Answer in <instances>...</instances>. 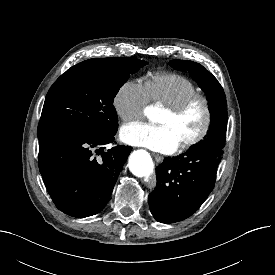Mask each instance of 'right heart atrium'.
<instances>
[{"instance_id":"1","label":"right heart atrium","mask_w":275,"mask_h":275,"mask_svg":"<svg viewBox=\"0 0 275 275\" xmlns=\"http://www.w3.org/2000/svg\"><path fill=\"white\" fill-rule=\"evenodd\" d=\"M150 99L143 83L127 80L114 94L112 104L117 116L124 122H131L142 117Z\"/></svg>"}]
</instances>
